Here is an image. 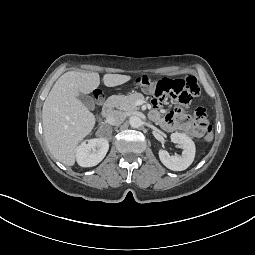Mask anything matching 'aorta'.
Here are the masks:
<instances>
[{
  "instance_id": "aorta-1",
  "label": "aorta",
  "mask_w": 255,
  "mask_h": 255,
  "mask_svg": "<svg viewBox=\"0 0 255 255\" xmlns=\"http://www.w3.org/2000/svg\"><path fill=\"white\" fill-rule=\"evenodd\" d=\"M129 123L132 128H139L142 125V120L138 116H132Z\"/></svg>"
}]
</instances>
